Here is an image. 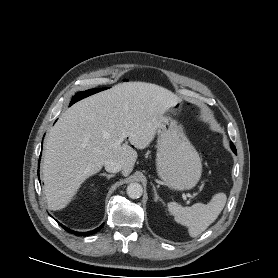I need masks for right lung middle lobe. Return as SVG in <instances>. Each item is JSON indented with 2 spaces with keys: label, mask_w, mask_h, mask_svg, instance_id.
Returning a JSON list of instances; mask_svg holds the SVG:
<instances>
[{
  "label": "right lung middle lobe",
  "mask_w": 278,
  "mask_h": 278,
  "mask_svg": "<svg viewBox=\"0 0 278 278\" xmlns=\"http://www.w3.org/2000/svg\"><path fill=\"white\" fill-rule=\"evenodd\" d=\"M96 91V90H94ZM89 93H91V91H85V92H80L79 94H82L84 97L89 95Z\"/></svg>",
  "instance_id": "dd1d6c3e"
}]
</instances>
